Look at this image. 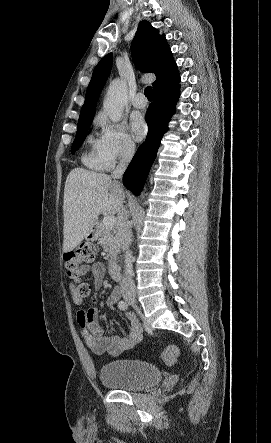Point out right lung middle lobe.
<instances>
[{
    "instance_id": "1",
    "label": "right lung middle lobe",
    "mask_w": 271,
    "mask_h": 443,
    "mask_svg": "<svg viewBox=\"0 0 271 443\" xmlns=\"http://www.w3.org/2000/svg\"><path fill=\"white\" fill-rule=\"evenodd\" d=\"M92 121H93V116L79 119L78 126H77L76 138H75V140L72 144V147H71L72 153H74L77 149H79L80 146L83 144L86 134H87V131H88V128L91 125Z\"/></svg>"
}]
</instances>
